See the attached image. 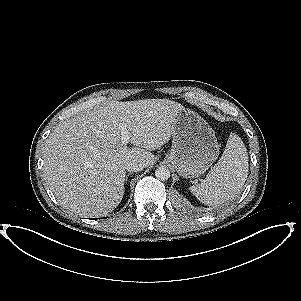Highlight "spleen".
Instances as JSON below:
<instances>
[{"label":"spleen","instance_id":"obj_1","mask_svg":"<svg viewBox=\"0 0 301 301\" xmlns=\"http://www.w3.org/2000/svg\"><path fill=\"white\" fill-rule=\"evenodd\" d=\"M248 154L238 137L229 138L225 150L206 178L190 187L206 205L220 204L234 196L248 176Z\"/></svg>","mask_w":301,"mask_h":301}]
</instances>
